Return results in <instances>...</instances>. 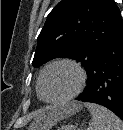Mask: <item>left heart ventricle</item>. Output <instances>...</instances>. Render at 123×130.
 Here are the masks:
<instances>
[{
	"label": "left heart ventricle",
	"mask_w": 123,
	"mask_h": 130,
	"mask_svg": "<svg viewBox=\"0 0 123 130\" xmlns=\"http://www.w3.org/2000/svg\"><path fill=\"white\" fill-rule=\"evenodd\" d=\"M78 73L68 65L50 68L43 79V93L47 99L55 100L72 93L77 87Z\"/></svg>",
	"instance_id": "left-heart-ventricle-1"
}]
</instances>
